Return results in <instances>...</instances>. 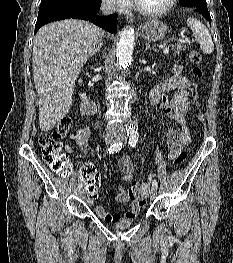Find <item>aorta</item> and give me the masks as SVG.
<instances>
[{
	"label": "aorta",
	"instance_id": "obj_1",
	"mask_svg": "<svg viewBox=\"0 0 233 263\" xmlns=\"http://www.w3.org/2000/svg\"><path fill=\"white\" fill-rule=\"evenodd\" d=\"M133 45L134 29L126 28L121 33L116 49V57L121 66L127 67L132 61Z\"/></svg>",
	"mask_w": 233,
	"mask_h": 263
}]
</instances>
